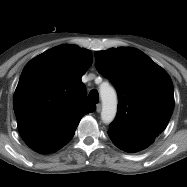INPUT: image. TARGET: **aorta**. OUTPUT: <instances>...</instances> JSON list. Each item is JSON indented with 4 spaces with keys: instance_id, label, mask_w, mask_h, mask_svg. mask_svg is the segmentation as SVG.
I'll list each match as a JSON object with an SVG mask.
<instances>
[{
    "instance_id": "1",
    "label": "aorta",
    "mask_w": 187,
    "mask_h": 187,
    "mask_svg": "<svg viewBox=\"0 0 187 187\" xmlns=\"http://www.w3.org/2000/svg\"><path fill=\"white\" fill-rule=\"evenodd\" d=\"M99 90L102 100L101 119L105 124H109L116 116L117 95L115 90L108 83H102Z\"/></svg>"
}]
</instances>
